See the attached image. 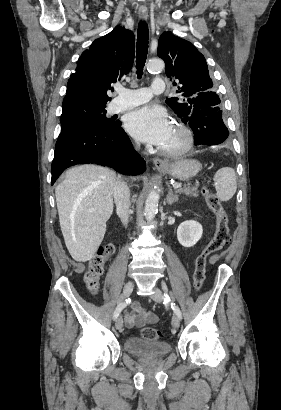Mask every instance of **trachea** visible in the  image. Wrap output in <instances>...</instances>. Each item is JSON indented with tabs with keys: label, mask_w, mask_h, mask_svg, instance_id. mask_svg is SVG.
Here are the masks:
<instances>
[{
	"label": "trachea",
	"mask_w": 281,
	"mask_h": 410,
	"mask_svg": "<svg viewBox=\"0 0 281 410\" xmlns=\"http://www.w3.org/2000/svg\"><path fill=\"white\" fill-rule=\"evenodd\" d=\"M149 30L145 21H140L138 25L137 45H136V68L138 78L143 75V68L148 54Z\"/></svg>",
	"instance_id": "trachea-1"
}]
</instances>
